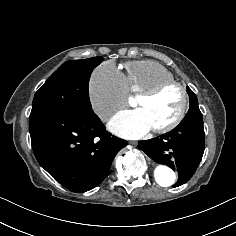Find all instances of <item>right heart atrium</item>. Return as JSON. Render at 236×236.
<instances>
[{
    "label": "right heart atrium",
    "mask_w": 236,
    "mask_h": 236,
    "mask_svg": "<svg viewBox=\"0 0 236 236\" xmlns=\"http://www.w3.org/2000/svg\"><path fill=\"white\" fill-rule=\"evenodd\" d=\"M127 93L124 75L113 64L102 63L92 72L89 98L93 112L101 121H107L126 104Z\"/></svg>",
    "instance_id": "d8ad5b80"
}]
</instances>
